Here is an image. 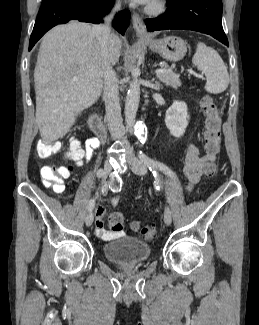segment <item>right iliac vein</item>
Wrapping results in <instances>:
<instances>
[{
  "label": "right iliac vein",
  "instance_id": "right-iliac-vein-1",
  "mask_svg": "<svg viewBox=\"0 0 259 325\" xmlns=\"http://www.w3.org/2000/svg\"><path fill=\"white\" fill-rule=\"evenodd\" d=\"M111 170H112V165L109 160H106L104 163V170H103L102 176L104 178H106L109 175V173L111 172ZM93 219H94L93 212L89 211V213L87 214L86 219H85L86 225L91 226V224L93 223Z\"/></svg>",
  "mask_w": 259,
  "mask_h": 325
}]
</instances>
